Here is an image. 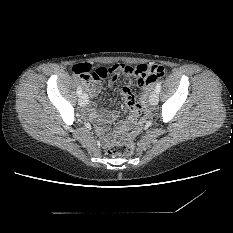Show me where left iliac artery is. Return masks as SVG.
<instances>
[{"label": "left iliac artery", "mask_w": 233, "mask_h": 233, "mask_svg": "<svg viewBox=\"0 0 233 233\" xmlns=\"http://www.w3.org/2000/svg\"><path fill=\"white\" fill-rule=\"evenodd\" d=\"M160 90H161V82H158L157 85H156L155 91H156L157 93H159Z\"/></svg>", "instance_id": "1"}]
</instances>
